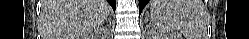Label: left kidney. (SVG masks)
<instances>
[{"label": "left kidney", "mask_w": 249, "mask_h": 39, "mask_svg": "<svg viewBox=\"0 0 249 39\" xmlns=\"http://www.w3.org/2000/svg\"><path fill=\"white\" fill-rule=\"evenodd\" d=\"M155 37H156V39H172L173 38L170 35H167L163 31H156Z\"/></svg>", "instance_id": "obj_1"}]
</instances>
